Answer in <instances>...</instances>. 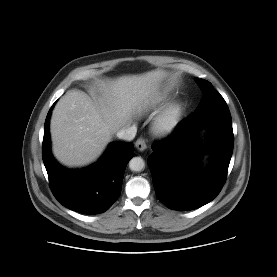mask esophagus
Returning a JSON list of instances; mask_svg holds the SVG:
<instances>
[{
  "instance_id": "1",
  "label": "esophagus",
  "mask_w": 277,
  "mask_h": 277,
  "mask_svg": "<svg viewBox=\"0 0 277 277\" xmlns=\"http://www.w3.org/2000/svg\"><path fill=\"white\" fill-rule=\"evenodd\" d=\"M135 146L139 151H144L147 148L146 141L143 138H139L136 141Z\"/></svg>"
}]
</instances>
